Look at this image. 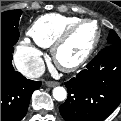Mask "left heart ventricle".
<instances>
[{
  "label": "left heart ventricle",
  "instance_id": "left-heart-ventricle-1",
  "mask_svg": "<svg viewBox=\"0 0 121 121\" xmlns=\"http://www.w3.org/2000/svg\"><path fill=\"white\" fill-rule=\"evenodd\" d=\"M97 36L96 27L83 24L72 34L70 39L59 50V59L64 63H73L80 59L92 46Z\"/></svg>",
  "mask_w": 121,
  "mask_h": 121
}]
</instances>
